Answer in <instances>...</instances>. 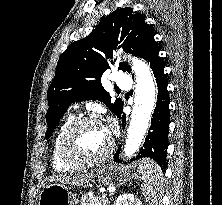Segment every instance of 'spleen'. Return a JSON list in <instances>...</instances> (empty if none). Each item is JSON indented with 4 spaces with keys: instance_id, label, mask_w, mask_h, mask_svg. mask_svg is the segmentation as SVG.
Listing matches in <instances>:
<instances>
[{
    "instance_id": "3e777b00",
    "label": "spleen",
    "mask_w": 222,
    "mask_h": 205,
    "mask_svg": "<svg viewBox=\"0 0 222 205\" xmlns=\"http://www.w3.org/2000/svg\"><path fill=\"white\" fill-rule=\"evenodd\" d=\"M138 173L143 181L142 191L150 205H159L158 200L163 188V174L161 168L151 159L138 161Z\"/></svg>"
}]
</instances>
